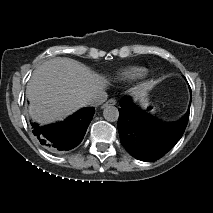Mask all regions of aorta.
Returning <instances> with one entry per match:
<instances>
[{"mask_svg": "<svg viewBox=\"0 0 213 213\" xmlns=\"http://www.w3.org/2000/svg\"><path fill=\"white\" fill-rule=\"evenodd\" d=\"M103 117L108 122H116L119 118L118 108L113 105H108L103 110Z\"/></svg>", "mask_w": 213, "mask_h": 213, "instance_id": "aorta-1", "label": "aorta"}]
</instances>
